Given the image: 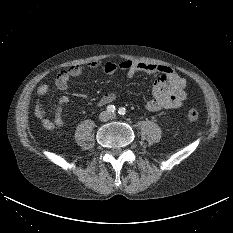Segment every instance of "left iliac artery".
<instances>
[{
	"label": "left iliac artery",
	"instance_id": "left-iliac-artery-1",
	"mask_svg": "<svg viewBox=\"0 0 233 233\" xmlns=\"http://www.w3.org/2000/svg\"><path fill=\"white\" fill-rule=\"evenodd\" d=\"M118 113L120 115H125L126 114V109L124 107L119 108Z\"/></svg>",
	"mask_w": 233,
	"mask_h": 233
}]
</instances>
